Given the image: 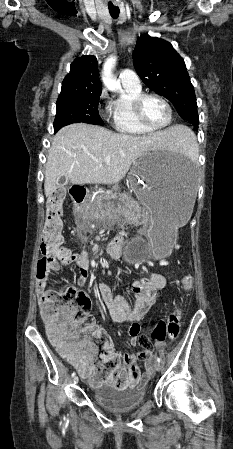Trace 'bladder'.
Listing matches in <instances>:
<instances>
[{"instance_id": "obj_1", "label": "bladder", "mask_w": 233, "mask_h": 449, "mask_svg": "<svg viewBox=\"0 0 233 449\" xmlns=\"http://www.w3.org/2000/svg\"><path fill=\"white\" fill-rule=\"evenodd\" d=\"M95 404L111 412H127L141 406L146 400V388L118 389L102 386L92 390Z\"/></svg>"}]
</instances>
